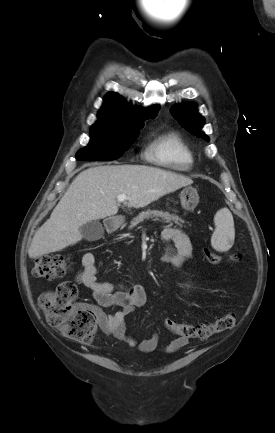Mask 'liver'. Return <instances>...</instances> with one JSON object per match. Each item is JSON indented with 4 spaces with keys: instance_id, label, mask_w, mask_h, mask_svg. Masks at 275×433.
<instances>
[{
    "instance_id": "liver-1",
    "label": "liver",
    "mask_w": 275,
    "mask_h": 433,
    "mask_svg": "<svg viewBox=\"0 0 275 433\" xmlns=\"http://www.w3.org/2000/svg\"><path fill=\"white\" fill-rule=\"evenodd\" d=\"M192 179L146 165H106L82 171L71 183L50 218L37 230L30 258L61 251L81 241L80 227L117 214V196L129 197L128 207L142 208Z\"/></svg>"
}]
</instances>
